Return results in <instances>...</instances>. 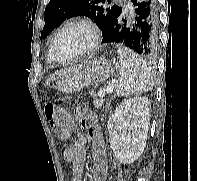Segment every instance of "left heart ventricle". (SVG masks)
I'll return each mask as SVG.
<instances>
[{
	"instance_id": "b2bd125f",
	"label": "left heart ventricle",
	"mask_w": 197,
	"mask_h": 181,
	"mask_svg": "<svg viewBox=\"0 0 197 181\" xmlns=\"http://www.w3.org/2000/svg\"><path fill=\"white\" fill-rule=\"evenodd\" d=\"M92 37L84 26L75 25L65 29L57 42V54L60 59L67 60L86 50Z\"/></svg>"
}]
</instances>
